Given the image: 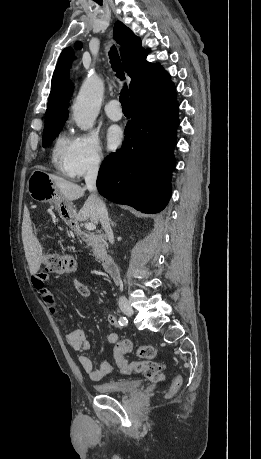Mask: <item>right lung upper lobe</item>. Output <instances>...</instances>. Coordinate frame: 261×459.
Segmentation results:
<instances>
[{"label": "right lung upper lobe", "instance_id": "cb5924a9", "mask_svg": "<svg viewBox=\"0 0 261 459\" xmlns=\"http://www.w3.org/2000/svg\"><path fill=\"white\" fill-rule=\"evenodd\" d=\"M114 39L122 47L121 59L125 71L131 77L130 100L144 97L169 84L170 76L158 64L146 61L149 50L141 46V40L121 22L114 26ZM73 59L72 48L61 53L52 77L51 92L45 113V126L65 123L68 117V101L72 94L68 71Z\"/></svg>", "mask_w": 261, "mask_h": 459}]
</instances>
